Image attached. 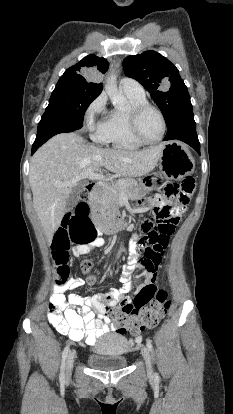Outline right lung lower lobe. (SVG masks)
<instances>
[{
	"mask_svg": "<svg viewBox=\"0 0 233 414\" xmlns=\"http://www.w3.org/2000/svg\"><path fill=\"white\" fill-rule=\"evenodd\" d=\"M83 123L62 117L54 113H44L38 124L36 140L32 146V154L48 139L59 133L73 132L80 129Z\"/></svg>",
	"mask_w": 233,
	"mask_h": 414,
	"instance_id": "right-lung-lower-lobe-1",
	"label": "right lung lower lobe"
}]
</instances>
